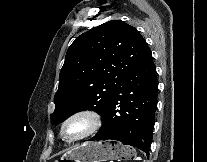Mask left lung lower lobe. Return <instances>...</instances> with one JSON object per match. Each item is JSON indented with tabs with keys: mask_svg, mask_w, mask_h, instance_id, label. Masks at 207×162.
I'll return each instance as SVG.
<instances>
[{
	"mask_svg": "<svg viewBox=\"0 0 207 162\" xmlns=\"http://www.w3.org/2000/svg\"><path fill=\"white\" fill-rule=\"evenodd\" d=\"M158 80L151 51L132 69L117 88L103 126L90 139L116 140L131 145L149 155L157 107Z\"/></svg>",
	"mask_w": 207,
	"mask_h": 162,
	"instance_id": "left-lung-lower-lobe-1",
	"label": "left lung lower lobe"
}]
</instances>
